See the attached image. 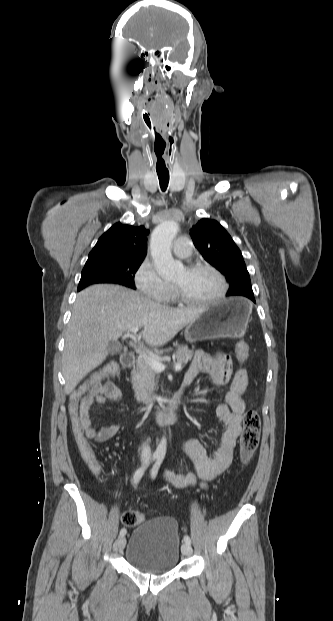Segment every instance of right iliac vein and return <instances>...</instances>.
<instances>
[{"label": "right iliac vein", "mask_w": 333, "mask_h": 621, "mask_svg": "<svg viewBox=\"0 0 333 621\" xmlns=\"http://www.w3.org/2000/svg\"><path fill=\"white\" fill-rule=\"evenodd\" d=\"M125 544H126V538L124 536L123 537L121 536L115 541L113 545V550L115 552H120L125 547Z\"/></svg>", "instance_id": "right-iliac-vein-1"}]
</instances>
